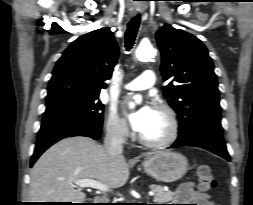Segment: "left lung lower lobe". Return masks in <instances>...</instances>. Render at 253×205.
Here are the masks:
<instances>
[{"label":"left lung lower lobe","mask_w":253,"mask_h":205,"mask_svg":"<svg viewBox=\"0 0 253 205\" xmlns=\"http://www.w3.org/2000/svg\"><path fill=\"white\" fill-rule=\"evenodd\" d=\"M195 146L206 149L230 161V156L224 142L222 128L214 125L199 127L188 139H177L171 148Z\"/></svg>","instance_id":"0a47b994"}]
</instances>
